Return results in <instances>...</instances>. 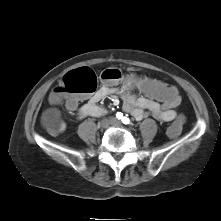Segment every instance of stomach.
<instances>
[{"label": "stomach", "mask_w": 221, "mask_h": 221, "mask_svg": "<svg viewBox=\"0 0 221 221\" xmlns=\"http://www.w3.org/2000/svg\"><path fill=\"white\" fill-rule=\"evenodd\" d=\"M130 77H131V75H128V76L125 78V83H126V85H127L128 87H130V86H129V79H130Z\"/></svg>", "instance_id": "stomach-1"}]
</instances>
